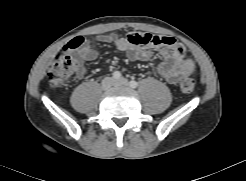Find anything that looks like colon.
<instances>
[{
  "instance_id": "1",
  "label": "colon",
  "mask_w": 246,
  "mask_h": 181,
  "mask_svg": "<svg viewBox=\"0 0 246 181\" xmlns=\"http://www.w3.org/2000/svg\"><path fill=\"white\" fill-rule=\"evenodd\" d=\"M83 42L82 37H75L70 41L68 46L69 49H76L81 46ZM160 42L159 36L143 34L140 43L142 44H158ZM79 62L77 59L71 57L66 52L58 53L51 63L48 72L47 79L50 85L53 87H62L67 84L69 79L78 71ZM195 87L194 80L191 78H184L180 82V90L183 93L189 94L193 92Z\"/></svg>"
}]
</instances>
